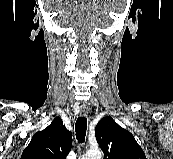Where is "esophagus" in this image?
<instances>
[{"label": "esophagus", "instance_id": "obj_1", "mask_svg": "<svg viewBox=\"0 0 173 159\" xmlns=\"http://www.w3.org/2000/svg\"><path fill=\"white\" fill-rule=\"evenodd\" d=\"M80 114L83 116H86L88 114V108L87 107H81L80 108Z\"/></svg>", "mask_w": 173, "mask_h": 159}]
</instances>
